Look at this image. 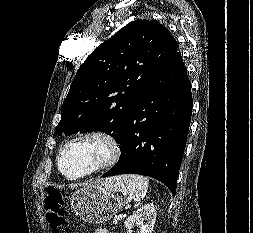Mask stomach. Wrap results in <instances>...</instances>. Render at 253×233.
<instances>
[{
    "mask_svg": "<svg viewBox=\"0 0 253 233\" xmlns=\"http://www.w3.org/2000/svg\"><path fill=\"white\" fill-rule=\"evenodd\" d=\"M70 202L81 220L94 224L108 221L124 205L121 197L97 183L78 189L72 194Z\"/></svg>",
    "mask_w": 253,
    "mask_h": 233,
    "instance_id": "obj_1",
    "label": "stomach"
}]
</instances>
